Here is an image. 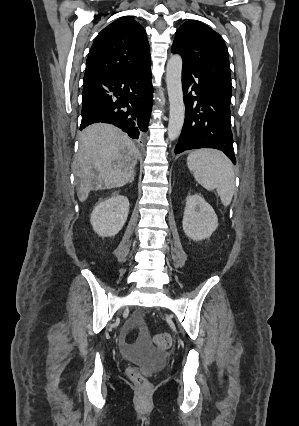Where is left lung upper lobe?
I'll return each instance as SVG.
<instances>
[{
    "label": "left lung upper lobe",
    "mask_w": 299,
    "mask_h": 426,
    "mask_svg": "<svg viewBox=\"0 0 299 426\" xmlns=\"http://www.w3.org/2000/svg\"><path fill=\"white\" fill-rule=\"evenodd\" d=\"M172 52L216 87L231 95L228 50L220 35L207 25L189 20L176 31Z\"/></svg>",
    "instance_id": "left-lung-upper-lobe-1"
}]
</instances>
